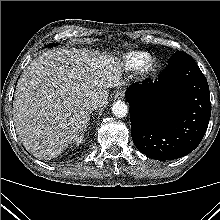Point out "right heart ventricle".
<instances>
[{"mask_svg": "<svg viewBox=\"0 0 220 220\" xmlns=\"http://www.w3.org/2000/svg\"><path fill=\"white\" fill-rule=\"evenodd\" d=\"M146 56L144 52H130L123 56L122 64L126 69H133L138 67Z\"/></svg>", "mask_w": 220, "mask_h": 220, "instance_id": "e07e8e85", "label": "right heart ventricle"}]
</instances>
